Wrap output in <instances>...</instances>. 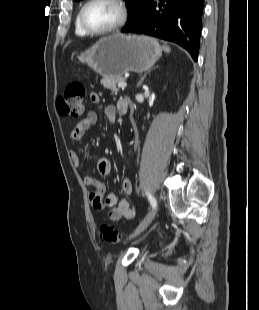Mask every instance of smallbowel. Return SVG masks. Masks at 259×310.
<instances>
[{
    "instance_id": "c3829d8e",
    "label": "small bowel",
    "mask_w": 259,
    "mask_h": 310,
    "mask_svg": "<svg viewBox=\"0 0 259 310\" xmlns=\"http://www.w3.org/2000/svg\"><path fill=\"white\" fill-rule=\"evenodd\" d=\"M91 100L94 103L100 102V97L97 92H92ZM122 101V100H121ZM119 101L116 106L105 105L104 114L108 120L114 124L116 120V113L118 111ZM97 121V115L91 111L87 116L79 121L70 133V140L73 143L79 142L87 130H89ZM130 154L133 155V150H130ZM70 157L74 164L78 167L80 165V158L75 149L70 151ZM97 170L101 175H109L111 172V163L108 159L102 158L97 163ZM83 182L86 186L92 188L90 194V203L93 209L105 212L108 217L113 221H119L123 218L132 219L135 215L134 209L131 207L129 201L126 198L119 199L115 193H109L106 196L105 185L94 176L86 174L83 176ZM132 181L129 178H125L121 182V190L125 195L132 193Z\"/></svg>"
}]
</instances>
